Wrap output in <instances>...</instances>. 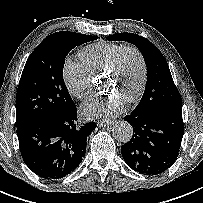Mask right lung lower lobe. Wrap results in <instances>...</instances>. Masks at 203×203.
Instances as JSON below:
<instances>
[{"label": "right lung lower lobe", "mask_w": 203, "mask_h": 203, "mask_svg": "<svg viewBox=\"0 0 203 203\" xmlns=\"http://www.w3.org/2000/svg\"><path fill=\"white\" fill-rule=\"evenodd\" d=\"M95 122L79 126L76 106L17 128L24 162L36 175L60 179L73 172L86 152Z\"/></svg>", "instance_id": "1"}]
</instances>
